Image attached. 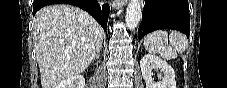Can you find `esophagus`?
<instances>
[{
	"label": "esophagus",
	"instance_id": "1",
	"mask_svg": "<svg viewBox=\"0 0 227 88\" xmlns=\"http://www.w3.org/2000/svg\"><path fill=\"white\" fill-rule=\"evenodd\" d=\"M127 3V0H114L112 1V8L123 7Z\"/></svg>",
	"mask_w": 227,
	"mask_h": 88
}]
</instances>
